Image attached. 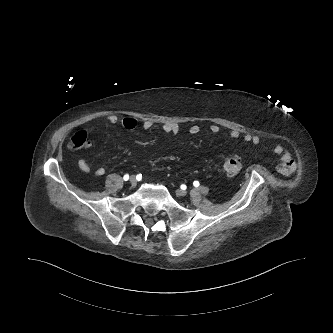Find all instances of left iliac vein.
I'll use <instances>...</instances> for the list:
<instances>
[{
	"label": "left iliac vein",
	"instance_id": "4c4485c4",
	"mask_svg": "<svg viewBox=\"0 0 333 333\" xmlns=\"http://www.w3.org/2000/svg\"><path fill=\"white\" fill-rule=\"evenodd\" d=\"M177 195L179 196H185L187 194V192L185 190H177Z\"/></svg>",
	"mask_w": 333,
	"mask_h": 333
}]
</instances>
